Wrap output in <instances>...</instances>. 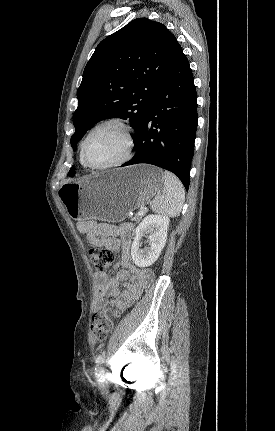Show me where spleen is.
Instances as JSON below:
<instances>
[{
    "mask_svg": "<svg viewBox=\"0 0 275 431\" xmlns=\"http://www.w3.org/2000/svg\"><path fill=\"white\" fill-rule=\"evenodd\" d=\"M162 175L164 180L162 195L155 197L151 208L156 213L174 218L180 214L185 201L184 187L171 172L164 171Z\"/></svg>",
    "mask_w": 275,
    "mask_h": 431,
    "instance_id": "obj_1",
    "label": "spleen"
}]
</instances>
